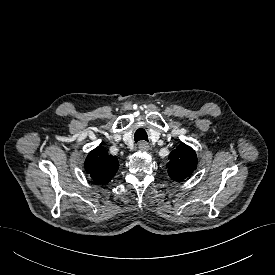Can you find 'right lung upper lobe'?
<instances>
[{
  "label": "right lung upper lobe",
  "instance_id": "right-lung-upper-lobe-1",
  "mask_svg": "<svg viewBox=\"0 0 275 275\" xmlns=\"http://www.w3.org/2000/svg\"><path fill=\"white\" fill-rule=\"evenodd\" d=\"M85 170L97 183L109 182L119 168L118 160L102 147L92 150L85 161Z\"/></svg>",
  "mask_w": 275,
  "mask_h": 275
}]
</instances>
